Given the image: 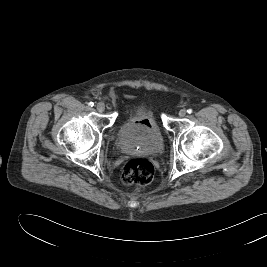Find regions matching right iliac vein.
I'll use <instances>...</instances> for the list:
<instances>
[{"label": "right iliac vein", "instance_id": "right-iliac-vein-1", "mask_svg": "<svg viewBox=\"0 0 267 267\" xmlns=\"http://www.w3.org/2000/svg\"><path fill=\"white\" fill-rule=\"evenodd\" d=\"M96 109H97V111L100 112V113L104 112V110H105V105H104V103H102V102L97 103V105H96Z\"/></svg>", "mask_w": 267, "mask_h": 267}]
</instances>
